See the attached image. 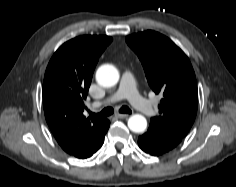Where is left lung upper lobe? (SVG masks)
Returning <instances> with one entry per match:
<instances>
[{"label":"left lung upper lobe","instance_id":"left-lung-upper-lobe-1","mask_svg":"<svg viewBox=\"0 0 236 187\" xmlns=\"http://www.w3.org/2000/svg\"><path fill=\"white\" fill-rule=\"evenodd\" d=\"M126 42L138 55L149 86L163 94L159 115L150 123L185 137L198 106L196 77L188 57L169 38L151 30L129 35Z\"/></svg>","mask_w":236,"mask_h":187}]
</instances>
